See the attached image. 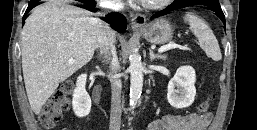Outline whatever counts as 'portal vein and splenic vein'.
<instances>
[{"instance_id":"18ae733b","label":"portal vein and splenic vein","mask_w":257,"mask_h":130,"mask_svg":"<svg viewBox=\"0 0 257 130\" xmlns=\"http://www.w3.org/2000/svg\"><path fill=\"white\" fill-rule=\"evenodd\" d=\"M174 48H178V46L177 45H168L163 48H160L158 50V52H165V51H168V50L174 49ZM73 62H74V59H69V63H73Z\"/></svg>"}]
</instances>
